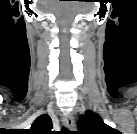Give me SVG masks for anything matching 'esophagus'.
I'll return each instance as SVG.
<instances>
[{"mask_svg":"<svg viewBox=\"0 0 137 134\" xmlns=\"http://www.w3.org/2000/svg\"><path fill=\"white\" fill-rule=\"evenodd\" d=\"M62 122L67 129H74V119L71 115H65L62 119Z\"/></svg>","mask_w":137,"mask_h":134,"instance_id":"1","label":"esophagus"}]
</instances>
